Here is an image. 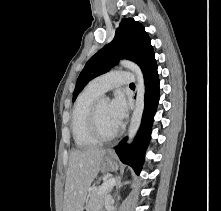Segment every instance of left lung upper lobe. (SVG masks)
<instances>
[{"instance_id":"obj_1","label":"left lung upper lobe","mask_w":221,"mask_h":211,"mask_svg":"<svg viewBox=\"0 0 221 211\" xmlns=\"http://www.w3.org/2000/svg\"><path fill=\"white\" fill-rule=\"evenodd\" d=\"M152 56L153 47L143 25L133 18L122 19L113 41L87 61L77 79L72 101L90 80L109 71L119 59L132 60L143 69Z\"/></svg>"}]
</instances>
